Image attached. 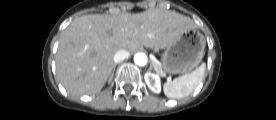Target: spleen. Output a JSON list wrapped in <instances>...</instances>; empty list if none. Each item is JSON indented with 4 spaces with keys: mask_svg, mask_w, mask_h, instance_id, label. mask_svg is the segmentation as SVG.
Here are the masks:
<instances>
[{
    "mask_svg": "<svg viewBox=\"0 0 276 120\" xmlns=\"http://www.w3.org/2000/svg\"><path fill=\"white\" fill-rule=\"evenodd\" d=\"M206 65L202 63L198 68L189 74L167 81L163 90L169 98H183L193 92V90L200 84L205 74Z\"/></svg>",
    "mask_w": 276,
    "mask_h": 120,
    "instance_id": "1",
    "label": "spleen"
}]
</instances>
